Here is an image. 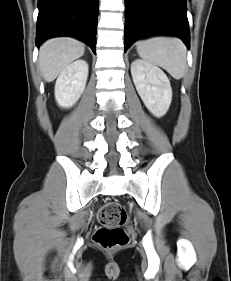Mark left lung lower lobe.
Returning <instances> with one entry per match:
<instances>
[{
  "label": "left lung lower lobe",
  "mask_w": 231,
  "mask_h": 281,
  "mask_svg": "<svg viewBox=\"0 0 231 281\" xmlns=\"http://www.w3.org/2000/svg\"><path fill=\"white\" fill-rule=\"evenodd\" d=\"M125 51L138 39L153 34L181 38L189 49L186 0H125Z\"/></svg>",
  "instance_id": "0a47b994"
}]
</instances>
